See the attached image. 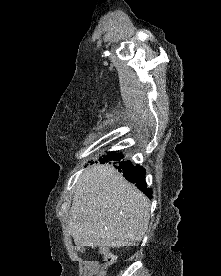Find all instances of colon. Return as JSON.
<instances>
[{
	"label": "colon",
	"instance_id": "obj_1",
	"mask_svg": "<svg viewBox=\"0 0 221 276\" xmlns=\"http://www.w3.org/2000/svg\"><path fill=\"white\" fill-rule=\"evenodd\" d=\"M100 252L103 254L104 259L107 262H113L115 260V256L110 251L103 249Z\"/></svg>",
	"mask_w": 221,
	"mask_h": 276
}]
</instances>
